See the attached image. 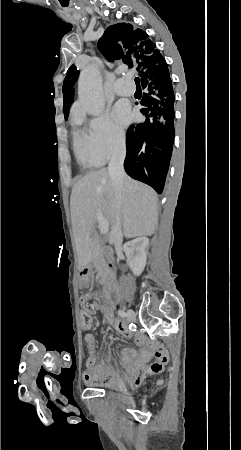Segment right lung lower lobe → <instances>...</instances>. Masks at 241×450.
<instances>
[{
  "mask_svg": "<svg viewBox=\"0 0 241 450\" xmlns=\"http://www.w3.org/2000/svg\"><path fill=\"white\" fill-rule=\"evenodd\" d=\"M142 88L146 90L140 112L146 119L129 127L126 134V173L162 193L174 141L175 96L166 61L145 65L139 71Z\"/></svg>",
  "mask_w": 241,
  "mask_h": 450,
  "instance_id": "98d812e1",
  "label": "right lung lower lobe"
}]
</instances>
